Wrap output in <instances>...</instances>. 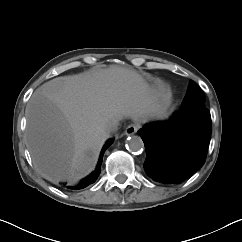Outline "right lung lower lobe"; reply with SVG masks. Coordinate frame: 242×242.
I'll return each mask as SVG.
<instances>
[{"instance_id":"98d812e1","label":"right lung lower lobe","mask_w":242,"mask_h":242,"mask_svg":"<svg viewBox=\"0 0 242 242\" xmlns=\"http://www.w3.org/2000/svg\"><path fill=\"white\" fill-rule=\"evenodd\" d=\"M112 143V140H108L101 152V155H100V159H99V162L96 166V169L94 172H92L89 176H87L86 178H84L79 184L77 185H67V184H63L67 189L69 190H79V189H83L85 187H87L88 185H90L91 183H93L97 177L99 176L100 174V171H101V163H102V158H103V154L105 152V150L111 145Z\"/></svg>"}]
</instances>
